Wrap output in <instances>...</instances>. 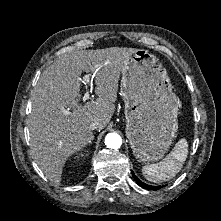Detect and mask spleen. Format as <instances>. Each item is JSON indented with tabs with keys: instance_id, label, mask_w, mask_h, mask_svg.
Returning <instances> with one entry per match:
<instances>
[{
	"instance_id": "obj_1",
	"label": "spleen",
	"mask_w": 221,
	"mask_h": 221,
	"mask_svg": "<svg viewBox=\"0 0 221 221\" xmlns=\"http://www.w3.org/2000/svg\"><path fill=\"white\" fill-rule=\"evenodd\" d=\"M188 155V142L180 139L169 155L156 164L144 165L142 173L144 177L154 183L168 181L176 176L182 169Z\"/></svg>"
}]
</instances>
